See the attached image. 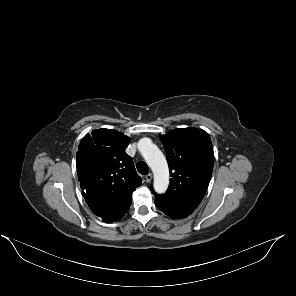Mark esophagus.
I'll list each match as a JSON object with an SVG mask.
<instances>
[{
	"label": "esophagus",
	"mask_w": 296,
	"mask_h": 296,
	"mask_svg": "<svg viewBox=\"0 0 296 296\" xmlns=\"http://www.w3.org/2000/svg\"><path fill=\"white\" fill-rule=\"evenodd\" d=\"M145 179H146L147 182H150L152 180V174L149 173L148 175H146Z\"/></svg>",
	"instance_id": "1"
}]
</instances>
